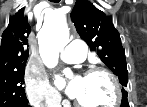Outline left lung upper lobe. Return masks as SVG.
Segmentation results:
<instances>
[{"mask_svg": "<svg viewBox=\"0 0 147 107\" xmlns=\"http://www.w3.org/2000/svg\"><path fill=\"white\" fill-rule=\"evenodd\" d=\"M71 18L80 37L118 76L121 85L126 87L128 72L125 52L119 32L112 23V18L106 16L104 12L87 0L76 1ZM122 94V99H127V92L124 88H122Z\"/></svg>", "mask_w": 147, "mask_h": 107, "instance_id": "1", "label": "left lung upper lobe"}]
</instances>
